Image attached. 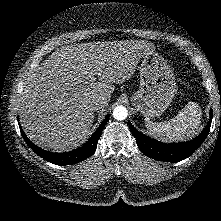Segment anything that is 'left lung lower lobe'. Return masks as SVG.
Instances as JSON below:
<instances>
[{"mask_svg": "<svg viewBox=\"0 0 221 221\" xmlns=\"http://www.w3.org/2000/svg\"><path fill=\"white\" fill-rule=\"evenodd\" d=\"M212 122V111L210 110V120L203 131L193 140L182 143H162L151 139L138 132L129 122L130 129L136 138L139 149L148 157L158 161L178 162L189 157L207 137Z\"/></svg>", "mask_w": 221, "mask_h": 221, "instance_id": "0a47b994", "label": "left lung lower lobe"}]
</instances>
